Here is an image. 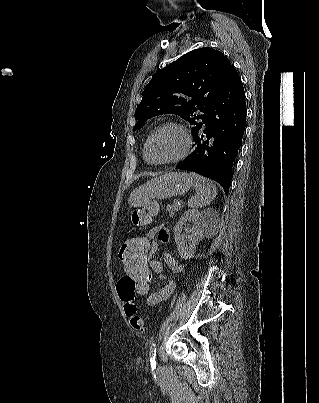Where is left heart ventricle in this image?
Returning a JSON list of instances; mask_svg holds the SVG:
<instances>
[{
  "label": "left heart ventricle",
  "instance_id": "1",
  "mask_svg": "<svg viewBox=\"0 0 319 403\" xmlns=\"http://www.w3.org/2000/svg\"><path fill=\"white\" fill-rule=\"evenodd\" d=\"M183 139L180 132L173 128L160 131L152 139L148 157L151 161H162L176 156L182 149Z\"/></svg>",
  "mask_w": 319,
  "mask_h": 403
}]
</instances>
